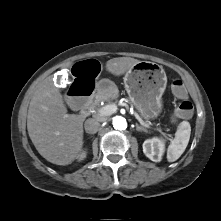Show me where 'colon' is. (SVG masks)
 <instances>
[{"label": "colon", "mask_w": 221, "mask_h": 221, "mask_svg": "<svg viewBox=\"0 0 221 221\" xmlns=\"http://www.w3.org/2000/svg\"><path fill=\"white\" fill-rule=\"evenodd\" d=\"M102 74L101 65L94 59L78 63L72 72V84L67 89L70 106L75 110L84 109L93 98L96 79ZM173 94L181 99L187 96L184 83L175 79L171 84ZM193 114V106L188 100H183L175 111L178 118L188 119Z\"/></svg>", "instance_id": "1"}]
</instances>
